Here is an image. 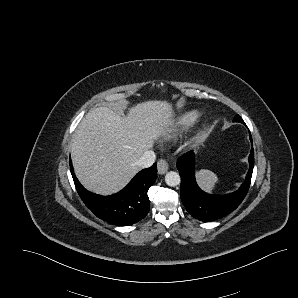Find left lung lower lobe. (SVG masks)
<instances>
[{"mask_svg": "<svg viewBox=\"0 0 298 298\" xmlns=\"http://www.w3.org/2000/svg\"><path fill=\"white\" fill-rule=\"evenodd\" d=\"M243 124L244 121H242ZM252 142L251 134H249ZM250 168L244 183L231 194L212 195L202 191L195 181V155L192 151L180 157L177 168L181 176V200L186 210L196 219L209 222L228 215L245 198L254 167V150L249 155Z\"/></svg>", "mask_w": 298, "mask_h": 298, "instance_id": "obj_1", "label": "left lung lower lobe"}]
</instances>
